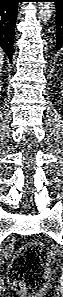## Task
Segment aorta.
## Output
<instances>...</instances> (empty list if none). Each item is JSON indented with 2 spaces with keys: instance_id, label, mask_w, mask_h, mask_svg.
<instances>
[{
  "instance_id": "762f6f07",
  "label": "aorta",
  "mask_w": 63,
  "mask_h": 297,
  "mask_svg": "<svg viewBox=\"0 0 63 297\" xmlns=\"http://www.w3.org/2000/svg\"><path fill=\"white\" fill-rule=\"evenodd\" d=\"M39 18L42 20L44 24H46L50 18L52 17V14L54 12V3L53 2H39Z\"/></svg>"
}]
</instances>
